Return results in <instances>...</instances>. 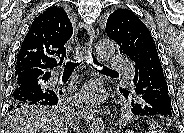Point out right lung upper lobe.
I'll use <instances>...</instances> for the list:
<instances>
[{"instance_id": "right-lung-upper-lobe-1", "label": "right lung upper lobe", "mask_w": 184, "mask_h": 133, "mask_svg": "<svg viewBox=\"0 0 184 133\" xmlns=\"http://www.w3.org/2000/svg\"><path fill=\"white\" fill-rule=\"evenodd\" d=\"M73 33L71 20L62 6L40 14L25 36L15 64V74L31 68L53 69L66 57L65 44Z\"/></svg>"}]
</instances>
